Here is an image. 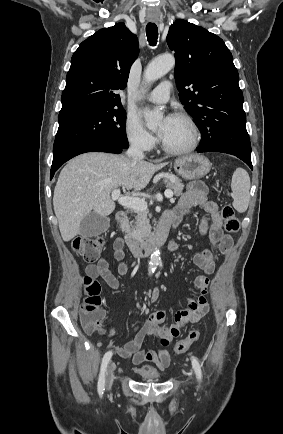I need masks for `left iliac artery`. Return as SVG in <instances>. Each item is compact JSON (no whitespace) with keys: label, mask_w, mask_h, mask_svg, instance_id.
<instances>
[{"label":"left iliac artery","mask_w":283,"mask_h":434,"mask_svg":"<svg viewBox=\"0 0 283 434\" xmlns=\"http://www.w3.org/2000/svg\"><path fill=\"white\" fill-rule=\"evenodd\" d=\"M191 361H192V366H193V369L196 373L198 380H201L202 379V372H201V367H200V364H199L197 358L193 356L191 358Z\"/></svg>","instance_id":"44dca946"}]
</instances>
